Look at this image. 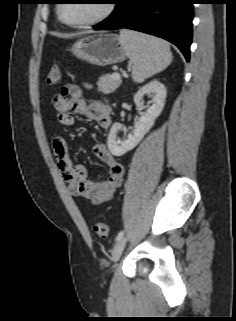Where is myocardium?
<instances>
[{"mask_svg": "<svg viewBox=\"0 0 236 321\" xmlns=\"http://www.w3.org/2000/svg\"><path fill=\"white\" fill-rule=\"evenodd\" d=\"M105 9L104 11L96 18L92 19V20H88V21H82V22H70L67 21L62 13V8L64 6L65 3H60L57 6V14H58V18L59 20L70 27H75V28H83V27H88V26H93L96 24H99L101 22H103L104 20H106L107 18H109L111 16V14L114 12L115 10V3L113 0H107L105 1Z\"/></svg>", "mask_w": 236, "mask_h": 321, "instance_id": "obj_1", "label": "myocardium"}]
</instances>
